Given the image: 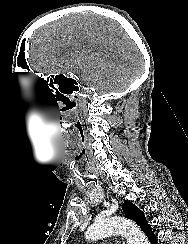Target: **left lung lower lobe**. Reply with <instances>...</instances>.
<instances>
[{"mask_svg":"<svg viewBox=\"0 0 188 244\" xmlns=\"http://www.w3.org/2000/svg\"><path fill=\"white\" fill-rule=\"evenodd\" d=\"M138 225L141 227L142 231H144V233L148 237V239L151 242V244H156L157 243L156 236H155L150 224L146 220L145 216L142 217V219L138 223Z\"/></svg>","mask_w":188,"mask_h":244,"instance_id":"1","label":"left lung lower lobe"}]
</instances>
